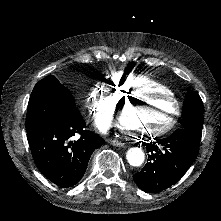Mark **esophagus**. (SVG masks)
<instances>
[{"label": "esophagus", "mask_w": 221, "mask_h": 221, "mask_svg": "<svg viewBox=\"0 0 221 221\" xmlns=\"http://www.w3.org/2000/svg\"><path fill=\"white\" fill-rule=\"evenodd\" d=\"M106 142L110 145H113V146H116V147H123L124 146V143L119 141V140H116L114 138H107L106 139Z\"/></svg>", "instance_id": "obj_1"}]
</instances>
